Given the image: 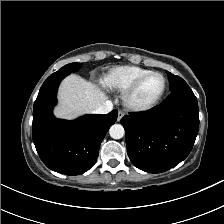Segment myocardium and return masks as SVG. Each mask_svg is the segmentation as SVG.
I'll return each instance as SVG.
<instances>
[{
  "instance_id": "obj_1",
  "label": "myocardium",
  "mask_w": 224,
  "mask_h": 224,
  "mask_svg": "<svg viewBox=\"0 0 224 224\" xmlns=\"http://www.w3.org/2000/svg\"><path fill=\"white\" fill-rule=\"evenodd\" d=\"M161 75L164 79V86L162 91L150 102L146 103H139L135 101V95L141 85L152 75ZM168 87V80L166 76L159 71H151L149 73L144 74L143 76L139 77L133 84L123 93L122 100L125 105V107L131 111L135 112H142V111H147L149 109H152L155 107L163 98L166 90Z\"/></svg>"
}]
</instances>
